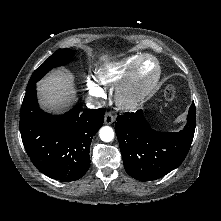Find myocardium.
I'll return each instance as SVG.
<instances>
[{
    "mask_svg": "<svg viewBox=\"0 0 221 221\" xmlns=\"http://www.w3.org/2000/svg\"><path fill=\"white\" fill-rule=\"evenodd\" d=\"M146 60L154 62L156 71L152 79L142 82L139 78V70L142 63ZM161 72V65L158 59L150 54H143L132 66L120 85L116 94L117 104L124 109L137 107L156 87L161 77Z\"/></svg>",
    "mask_w": 221,
    "mask_h": 221,
    "instance_id": "f54148a6",
    "label": "myocardium"
}]
</instances>
